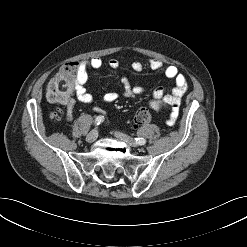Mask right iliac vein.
I'll list each match as a JSON object with an SVG mask.
<instances>
[{
    "mask_svg": "<svg viewBox=\"0 0 247 247\" xmlns=\"http://www.w3.org/2000/svg\"><path fill=\"white\" fill-rule=\"evenodd\" d=\"M97 137H98V131L94 129L86 136V141L92 143L97 139Z\"/></svg>",
    "mask_w": 247,
    "mask_h": 247,
    "instance_id": "obj_1",
    "label": "right iliac vein"
}]
</instances>
